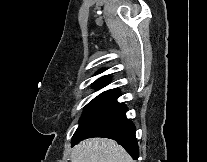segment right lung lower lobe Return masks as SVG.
<instances>
[{"instance_id": "right-lung-lower-lobe-1", "label": "right lung lower lobe", "mask_w": 207, "mask_h": 162, "mask_svg": "<svg viewBox=\"0 0 207 162\" xmlns=\"http://www.w3.org/2000/svg\"><path fill=\"white\" fill-rule=\"evenodd\" d=\"M119 95V91L115 90L97 107L75 132L72 145L90 137L111 138L121 144L134 160L138 159L136 128L126 118L127 107L117 102Z\"/></svg>"}]
</instances>
